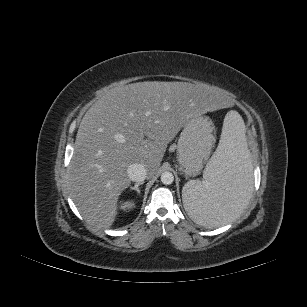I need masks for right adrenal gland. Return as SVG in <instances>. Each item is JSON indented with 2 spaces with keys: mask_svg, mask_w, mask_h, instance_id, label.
<instances>
[{
  "mask_svg": "<svg viewBox=\"0 0 307 307\" xmlns=\"http://www.w3.org/2000/svg\"><path fill=\"white\" fill-rule=\"evenodd\" d=\"M142 184H143V182H138L134 186H131L130 190H135V191H137L138 194H140V190H139L138 187H139V185H142Z\"/></svg>",
  "mask_w": 307,
  "mask_h": 307,
  "instance_id": "2a0ac1e0",
  "label": "right adrenal gland"
}]
</instances>
